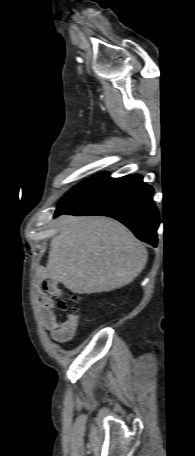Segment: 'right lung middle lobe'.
Here are the masks:
<instances>
[{
  "instance_id": "right-lung-middle-lobe-1",
  "label": "right lung middle lobe",
  "mask_w": 195,
  "mask_h": 456,
  "mask_svg": "<svg viewBox=\"0 0 195 456\" xmlns=\"http://www.w3.org/2000/svg\"><path fill=\"white\" fill-rule=\"evenodd\" d=\"M114 179L107 172L99 173L70 190L60 201L56 213L64 212L88 200Z\"/></svg>"
}]
</instances>
